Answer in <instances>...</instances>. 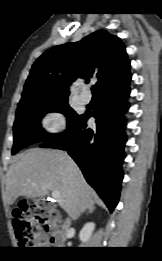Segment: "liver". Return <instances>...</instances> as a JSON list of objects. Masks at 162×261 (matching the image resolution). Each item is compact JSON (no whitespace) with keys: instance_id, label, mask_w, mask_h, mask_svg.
<instances>
[{"instance_id":"6515ba94","label":"liver","mask_w":162,"mask_h":261,"mask_svg":"<svg viewBox=\"0 0 162 261\" xmlns=\"http://www.w3.org/2000/svg\"><path fill=\"white\" fill-rule=\"evenodd\" d=\"M49 191L60 193V207L74 220L94 209L95 192L78 166L66 152L53 149L32 148L18 156L7 172L3 200L11 205L19 196L44 197Z\"/></svg>"}]
</instances>
